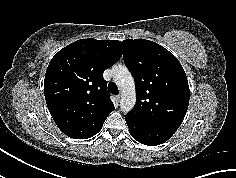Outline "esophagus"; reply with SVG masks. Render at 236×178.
Here are the masks:
<instances>
[{
    "instance_id": "esophagus-1",
    "label": "esophagus",
    "mask_w": 236,
    "mask_h": 178,
    "mask_svg": "<svg viewBox=\"0 0 236 178\" xmlns=\"http://www.w3.org/2000/svg\"><path fill=\"white\" fill-rule=\"evenodd\" d=\"M116 99H117V101L119 102L120 99H121V96H120V95H117V96H116Z\"/></svg>"
}]
</instances>
